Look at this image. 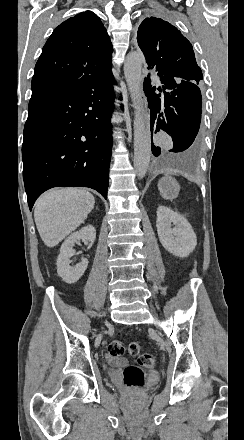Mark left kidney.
I'll return each instance as SVG.
<instances>
[{
	"label": "left kidney",
	"mask_w": 244,
	"mask_h": 440,
	"mask_svg": "<svg viewBox=\"0 0 244 440\" xmlns=\"http://www.w3.org/2000/svg\"><path fill=\"white\" fill-rule=\"evenodd\" d=\"M156 228L163 248L170 254L187 258L195 250L196 234L186 218L178 212H173L167 206H158Z\"/></svg>",
	"instance_id": "obj_1"
}]
</instances>
